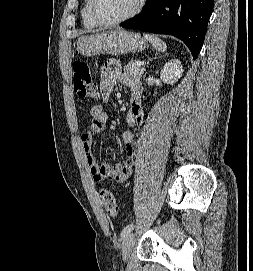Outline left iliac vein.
<instances>
[{"instance_id": "left-iliac-vein-1", "label": "left iliac vein", "mask_w": 253, "mask_h": 271, "mask_svg": "<svg viewBox=\"0 0 253 271\" xmlns=\"http://www.w3.org/2000/svg\"><path fill=\"white\" fill-rule=\"evenodd\" d=\"M134 244H135V236L134 234L130 233L124 238L123 243H122V258L124 261L128 260L131 254V251L134 247Z\"/></svg>"}]
</instances>
